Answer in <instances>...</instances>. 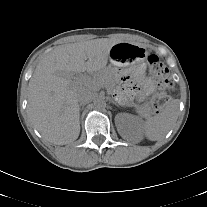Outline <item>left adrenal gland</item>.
<instances>
[{
  "mask_svg": "<svg viewBox=\"0 0 207 207\" xmlns=\"http://www.w3.org/2000/svg\"><path fill=\"white\" fill-rule=\"evenodd\" d=\"M111 102H112L114 105H116L117 107H119V105H118L115 101L111 100Z\"/></svg>",
  "mask_w": 207,
  "mask_h": 207,
  "instance_id": "1",
  "label": "left adrenal gland"
}]
</instances>
